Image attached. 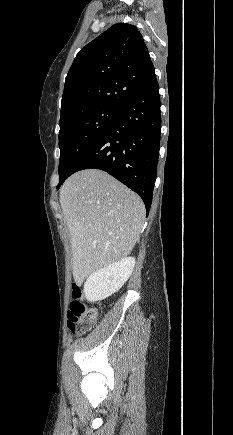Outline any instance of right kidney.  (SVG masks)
<instances>
[{
	"instance_id": "obj_1",
	"label": "right kidney",
	"mask_w": 233,
	"mask_h": 435,
	"mask_svg": "<svg viewBox=\"0 0 233 435\" xmlns=\"http://www.w3.org/2000/svg\"><path fill=\"white\" fill-rule=\"evenodd\" d=\"M134 257H125L91 274L84 284V294L89 302L108 298L117 292L132 274Z\"/></svg>"
}]
</instances>
